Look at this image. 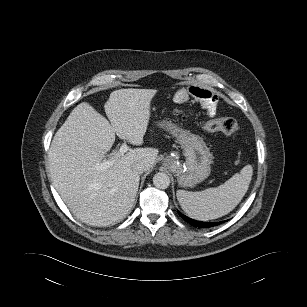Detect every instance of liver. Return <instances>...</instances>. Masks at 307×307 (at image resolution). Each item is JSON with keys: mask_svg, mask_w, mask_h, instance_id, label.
Here are the masks:
<instances>
[{"mask_svg": "<svg viewBox=\"0 0 307 307\" xmlns=\"http://www.w3.org/2000/svg\"><path fill=\"white\" fill-rule=\"evenodd\" d=\"M155 89H119L105 104L110 121L89 103L77 105L56 132L49 150L50 177L71 212L84 223L107 226L119 222L133 208L140 174L133 165L149 170L158 149L135 148L113 153L114 164L97 170L115 142V134L132 145L143 144Z\"/></svg>", "mask_w": 307, "mask_h": 307, "instance_id": "liver-1", "label": "liver"}]
</instances>
